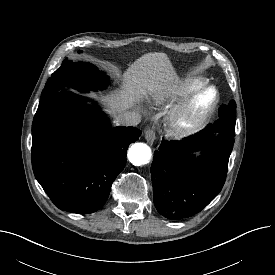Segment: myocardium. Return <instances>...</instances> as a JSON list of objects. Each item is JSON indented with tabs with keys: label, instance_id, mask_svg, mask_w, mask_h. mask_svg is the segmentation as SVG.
Returning <instances> with one entry per match:
<instances>
[{
	"label": "myocardium",
	"instance_id": "obj_1",
	"mask_svg": "<svg viewBox=\"0 0 275 275\" xmlns=\"http://www.w3.org/2000/svg\"><path fill=\"white\" fill-rule=\"evenodd\" d=\"M207 92L213 93V99L208 108L197 118L188 120L189 112L196 98ZM219 100V93L214 86L205 85L190 92L169 111L165 120L168 134L176 139H183L197 134L206 127L212 118Z\"/></svg>",
	"mask_w": 275,
	"mask_h": 275
}]
</instances>
